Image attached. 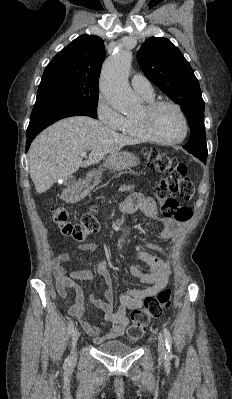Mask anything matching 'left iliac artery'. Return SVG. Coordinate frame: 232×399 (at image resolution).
<instances>
[{"label":"left iliac artery","mask_w":232,"mask_h":399,"mask_svg":"<svg viewBox=\"0 0 232 399\" xmlns=\"http://www.w3.org/2000/svg\"><path fill=\"white\" fill-rule=\"evenodd\" d=\"M163 333H164V339H165V346H166V353H165V358L166 359H171L173 357L172 354V337L167 328H163Z\"/></svg>","instance_id":"left-iliac-artery-1"}]
</instances>
